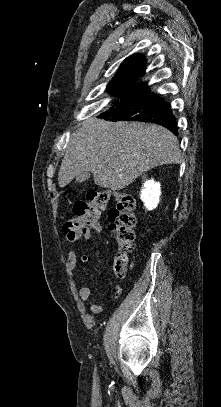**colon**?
Wrapping results in <instances>:
<instances>
[{"label":"colon","mask_w":221,"mask_h":407,"mask_svg":"<svg viewBox=\"0 0 221 407\" xmlns=\"http://www.w3.org/2000/svg\"><path fill=\"white\" fill-rule=\"evenodd\" d=\"M111 197L115 204L109 211V229L115 234L119 245L114 260V273L117 277L124 278L127 273V254L134 250L136 238L135 199L132 195L115 189L89 192L87 201L74 205V216L64 223L62 231L70 240L89 238L92 233L97 232L100 225L99 214L106 209Z\"/></svg>","instance_id":"1"}]
</instances>
